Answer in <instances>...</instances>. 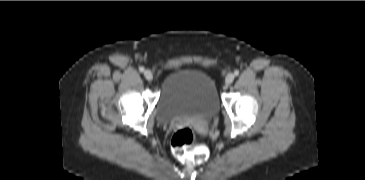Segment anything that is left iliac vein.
Segmentation results:
<instances>
[{
    "instance_id": "obj_1",
    "label": "left iliac vein",
    "mask_w": 365,
    "mask_h": 180,
    "mask_svg": "<svg viewBox=\"0 0 365 180\" xmlns=\"http://www.w3.org/2000/svg\"><path fill=\"white\" fill-rule=\"evenodd\" d=\"M234 78H235L234 74H232V73L227 74V76L225 78L226 84L230 85L234 81Z\"/></svg>"
}]
</instances>
